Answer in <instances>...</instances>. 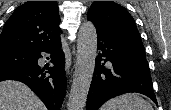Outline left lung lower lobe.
I'll list each match as a JSON object with an SVG mask.
<instances>
[{
    "label": "left lung lower lobe",
    "mask_w": 171,
    "mask_h": 110,
    "mask_svg": "<svg viewBox=\"0 0 171 110\" xmlns=\"http://www.w3.org/2000/svg\"><path fill=\"white\" fill-rule=\"evenodd\" d=\"M97 35L99 53L86 110H98L107 100L129 92L144 94L157 104L145 54L98 33ZM106 62L110 63L109 67L104 66Z\"/></svg>",
    "instance_id": "0a47b994"
}]
</instances>
